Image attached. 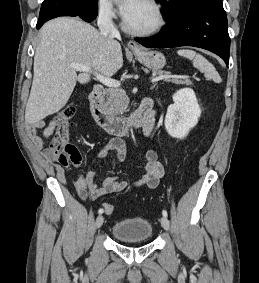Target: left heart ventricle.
I'll list each match as a JSON object with an SVG mask.
<instances>
[{
    "label": "left heart ventricle",
    "instance_id": "b2bd125f",
    "mask_svg": "<svg viewBox=\"0 0 259 283\" xmlns=\"http://www.w3.org/2000/svg\"><path fill=\"white\" fill-rule=\"evenodd\" d=\"M127 24L136 30L152 28L157 23V14L144 0H139L133 11L125 18Z\"/></svg>",
    "mask_w": 259,
    "mask_h": 283
}]
</instances>
